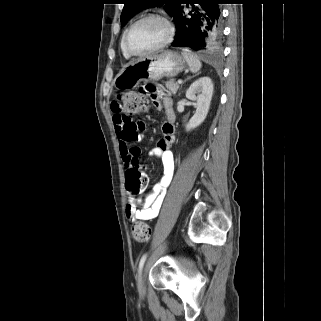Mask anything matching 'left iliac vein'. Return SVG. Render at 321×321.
I'll list each match as a JSON object with an SVG mask.
<instances>
[{
    "label": "left iliac vein",
    "mask_w": 321,
    "mask_h": 321,
    "mask_svg": "<svg viewBox=\"0 0 321 321\" xmlns=\"http://www.w3.org/2000/svg\"><path fill=\"white\" fill-rule=\"evenodd\" d=\"M146 271H147V265L141 271V274L139 276L138 287H139V291H140L141 294H144V292H145L144 281H145Z\"/></svg>",
    "instance_id": "4c4485c4"
}]
</instances>
